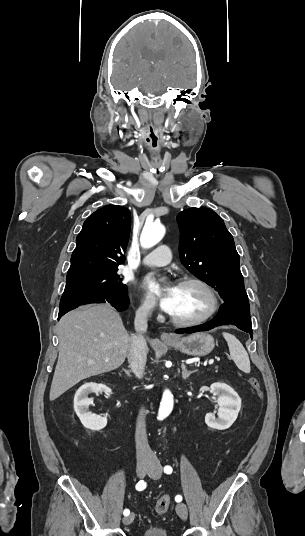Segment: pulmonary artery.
I'll list each match as a JSON object with an SVG mask.
<instances>
[{
    "mask_svg": "<svg viewBox=\"0 0 305 536\" xmlns=\"http://www.w3.org/2000/svg\"><path fill=\"white\" fill-rule=\"evenodd\" d=\"M171 250L166 245H159L149 253H147L143 259L142 263L145 266H164L171 262V257L169 256Z\"/></svg>",
    "mask_w": 305,
    "mask_h": 536,
    "instance_id": "obj_1",
    "label": "pulmonary artery"
}]
</instances>
